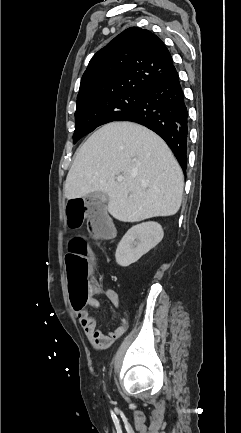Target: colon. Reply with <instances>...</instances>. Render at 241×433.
Masks as SVG:
<instances>
[{
	"mask_svg": "<svg viewBox=\"0 0 241 433\" xmlns=\"http://www.w3.org/2000/svg\"><path fill=\"white\" fill-rule=\"evenodd\" d=\"M68 219L66 229H81L85 216L91 233L96 238H104L110 233L109 205H103L102 200H85L76 198L65 200ZM64 266L68 272V289L72 300L73 312H85L87 303L93 297L94 282L91 279L92 260L89 255V245L81 238L71 243Z\"/></svg>",
	"mask_w": 241,
	"mask_h": 433,
	"instance_id": "5ec220e1",
	"label": "colon"
}]
</instances>
